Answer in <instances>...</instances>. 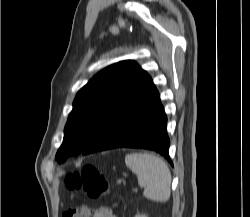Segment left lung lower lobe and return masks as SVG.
<instances>
[{
  "label": "left lung lower lobe",
  "instance_id": "1",
  "mask_svg": "<svg viewBox=\"0 0 250 217\" xmlns=\"http://www.w3.org/2000/svg\"><path fill=\"white\" fill-rule=\"evenodd\" d=\"M166 124L167 117L159 93L148 75L82 154L115 148L149 149L160 153L173 165L168 154L170 140Z\"/></svg>",
  "mask_w": 250,
  "mask_h": 217
}]
</instances>
